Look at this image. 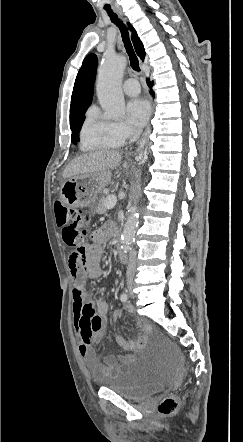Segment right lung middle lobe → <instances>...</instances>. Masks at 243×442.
<instances>
[{
    "mask_svg": "<svg viewBox=\"0 0 243 442\" xmlns=\"http://www.w3.org/2000/svg\"><path fill=\"white\" fill-rule=\"evenodd\" d=\"M82 117H83V115L81 116L80 119H78L74 123L70 124L71 125V130H72L71 138H72V142L73 143H77V141L79 140L77 135H78V132L81 129V126H82V124L84 122V119Z\"/></svg>",
    "mask_w": 243,
    "mask_h": 442,
    "instance_id": "right-lung-middle-lobe-1",
    "label": "right lung middle lobe"
}]
</instances>
